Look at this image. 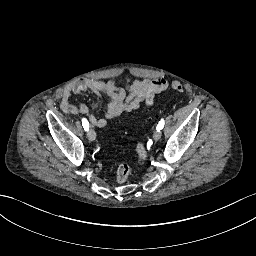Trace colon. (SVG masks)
<instances>
[{
  "label": "colon",
  "instance_id": "1",
  "mask_svg": "<svg viewBox=\"0 0 256 256\" xmlns=\"http://www.w3.org/2000/svg\"><path fill=\"white\" fill-rule=\"evenodd\" d=\"M172 88L174 91L181 92L183 91V86L179 82H174L172 84ZM137 156L139 161H144L147 158V152L145 150V146L142 143H138L137 145ZM131 173V167L127 164H121L116 173V181L118 183H123L129 174Z\"/></svg>",
  "mask_w": 256,
  "mask_h": 256
}]
</instances>
